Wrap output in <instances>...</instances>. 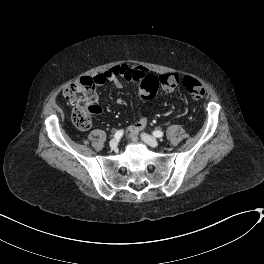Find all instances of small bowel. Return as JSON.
<instances>
[{
  "label": "small bowel",
  "instance_id": "1",
  "mask_svg": "<svg viewBox=\"0 0 264 264\" xmlns=\"http://www.w3.org/2000/svg\"><path fill=\"white\" fill-rule=\"evenodd\" d=\"M120 67H124L125 70L121 74H117L114 69L103 72L93 78V81L96 84H104L108 81L112 82L117 88H122V83L118 77L121 75L124 79L131 82L142 81L146 77L150 76L149 71L143 66H136L132 64L122 65ZM115 101L118 105L124 106L125 101L121 97H116ZM148 124V120L144 116H140L135 124L129 127V132L132 135H138L141 131H143Z\"/></svg>",
  "mask_w": 264,
  "mask_h": 264
}]
</instances>
